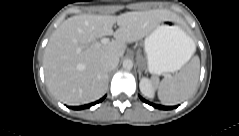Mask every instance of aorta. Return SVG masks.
I'll use <instances>...</instances> for the list:
<instances>
[{"label":"aorta","mask_w":239,"mask_h":136,"mask_svg":"<svg viewBox=\"0 0 239 136\" xmlns=\"http://www.w3.org/2000/svg\"><path fill=\"white\" fill-rule=\"evenodd\" d=\"M123 68L127 69V70H130L133 68V61L130 60V59H125L123 61Z\"/></svg>","instance_id":"aorta-1"}]
</instances>
